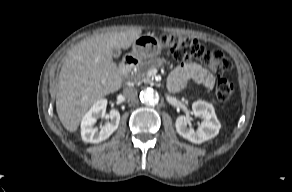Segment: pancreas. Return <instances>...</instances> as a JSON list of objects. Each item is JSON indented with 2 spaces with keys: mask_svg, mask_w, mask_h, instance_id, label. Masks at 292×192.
I'll return each mask as SVG.
<instances>
[{
  "mask_svg": "<svg viewBox=\"0 0 292 192\" xmlns=\"http://www.w3.org/2000/svg\"><path fill=\"white\" fill-rule=\"evenodd\" d=\"M165 59L163 58H156V59H150L148 61L141 62L138 66L136 71L133 72V75L131 79L135 83H151L152 79L150 76H148V72L154 68H159L163 66L165 63Z\"/></svg>",
  "mask_w": 292,
  "mask_h": 192,
  "instance_id": "pancreas-1",
  "label": "pancreas"
}]
</instances>
